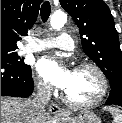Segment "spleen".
Masks as SVG:
<instances>
[{"instance_id":"3e777b00","label":"spleen","mask_w":122,"mask_h":123,"mask_svg":"<svg viewBox=\"0 0 122 123\" xmlns=\"http://www.w3.org/2000/svg\"><path fill=\"white\" fill-rule=\"evenodd\" d=\"M107 110L112 114L113 116V123H122V111L119 110L116 107H108Z\"/></svg>"}]
</instances>
